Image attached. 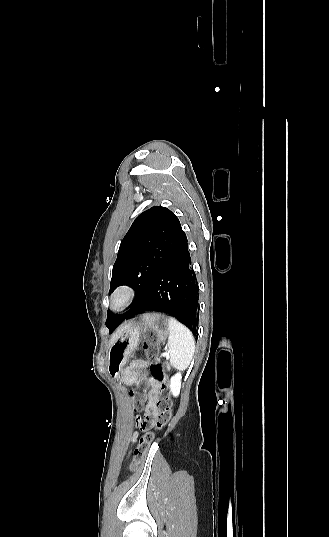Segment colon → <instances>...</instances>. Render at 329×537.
<instances>
[{
    "label": "colon",
    "mask_w": 329,
    "mask_h": 537,
    "mask_svg": "<svg viewBox=\"0 0 329 537\" xmlns=\"http://www.w3.org/2000/svg\"><path fill=\"white\" fill-rule=\"evenodd\" d=\"M144 347L146 355L151 361V373L160 381L156 402L158 413L154 422H150L146 419L139 422V428L143 432V435L140 437L138 445L134 451V457L131 463L132 470L139 465L148 451L149 446L154 439L153 429L163 428L172 416V403L168 387V377L163 366L156 361L159 355V347L155 342H146ZM136 386L137 390L131 393V398L134 409L138 411L143 408L147 400V383L144 380H139Z\"/></svg>",
    "instance_id": "1"
}]
</instances>
